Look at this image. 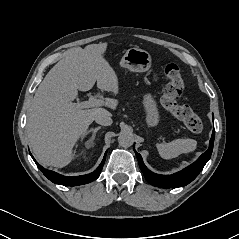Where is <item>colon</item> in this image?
Returning <instances> with one entry per match:
<instances>
[{"label": "colon", "mask_w": 239, "mask_h": 239, "mask_svg": "<svg viewBox=\"0 0 239 239\" xmlns=\"http://www.w3.org/2000/svg\"><path fill=\"white\" fill-rule=\"evenodd\" d=\"M164 77L167 83L161 96L162 106L181 120L189 131L201 133L203 130L201 118L189 106L179 103L184 94L185 85L178 65L175 63L166 64Z\"/></svg>", "instance_id": "1"}]
</instances>
